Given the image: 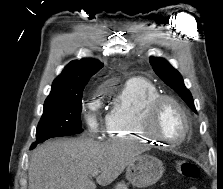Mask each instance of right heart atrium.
<instances>
[{
  "label": "right heart atrium",
  "mask_w": 223,
  "mask_h": 189,
  "mask_svg": "<svg viewBox=\"0 0 223 189\" xmlns=\"http://www.w3.org/2000/svg\"><path fill=\"white\" fill-rule=\"evenodd\" d=\"M94 110H95L94 108L90 107V110L87 113V121H88L89 127L94 132H97L99 130V122H98L97 118L94 115Z\"/></svg>",
  "instance_id": "right-heart-atrium-1"
}]
</instances>
